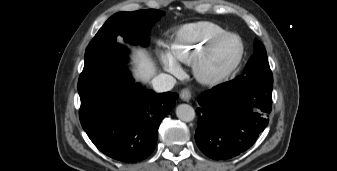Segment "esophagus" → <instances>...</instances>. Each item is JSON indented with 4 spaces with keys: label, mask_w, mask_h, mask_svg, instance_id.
I'll return each instance as SVG.
<instances>
[{
    "label": "esophagus",
    "mask_w": 337,
    "mask_h": 171,
    "mask_svg": "<svg viewBox=\"0 0 337 171\" xmlns=\"http://www.w3.org/2000/svg\"><path fill=\"white\" fill-rule=\"evenodd\" d=\"M180 97L183 101H189L191 99V92L189 89H182L180 92Z\"/></svg>",
    "instance_id": "1"
}]
</instances>
